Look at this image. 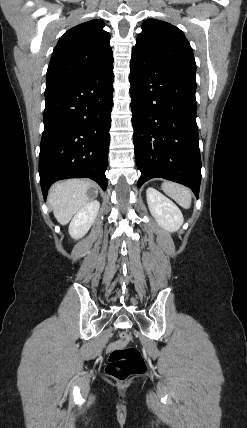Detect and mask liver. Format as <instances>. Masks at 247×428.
Here are the masks:
<instances>
[{
	"mask_svg": "<svg viewBox=\"0 0 247 428\" xmlns=\"http://www.w3.org/2000/svg\"><path fill=\"white\" fill-rule=\"evenodd\" d=\"M96 188L86 179H69L55 183L49 190L48 201L61 225H66L72 217L89 201L87 191Z\"/></svg>",
	"mask_w": 247,
	"mask_h": 428,
	"instance_id": "1",
	"label": "liver"
}]
</instances>
